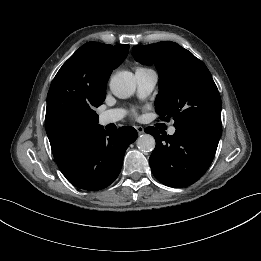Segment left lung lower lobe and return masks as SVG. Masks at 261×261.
I'll return each mask as SVG.
<instances>
[{
  "mask_svg": "<svg viewBox=\"0 0 261 261\" xmlns=\"http://www.w3.org/2000/svg\"><path fill=\"white\" fill-rule=\"evenodd\" d=\"M145 132L156 140L149 158L152 173L170 187L196 182L209 168L221 137V131L212 130L176 129L170 136L147 127Z\"/></svg>",
  "mask_w": 261,
  "mask_h": 261,
  "instance_id": "left-lung-lower-lobe-1",
  "label": "left lung lower lobe"
}]
</instances>
